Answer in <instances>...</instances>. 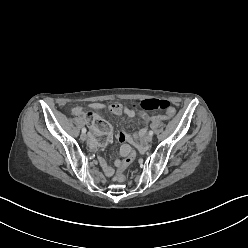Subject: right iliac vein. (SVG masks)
<instances>
[{
	"mask_svg": "<svg viewBox=\"0 0 248 248\" xmlns=\"http://www.w3.org/2000/svg\"><path fill=\"white\" fill-rule=\"evenodd\" d=\"M80 139L82 141H85L87 139V135L85 133H82L81 136H80Z\"/></svg>",
	"mask_w": 248,
	"mask_h": 248,
	"instance_id": "obj_1",
	"label": "right iliac vein"
}]
</instances>
